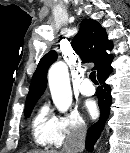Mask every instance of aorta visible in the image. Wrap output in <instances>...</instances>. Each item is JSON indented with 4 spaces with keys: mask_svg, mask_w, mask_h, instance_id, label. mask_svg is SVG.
I'll use <instances>...</instances> for the list:
<instances>
[{
    "mask_svg": "<svg viewBox=\"0 0 130 153\" xmlns=\"http://www.w3.org/2000/svg\"><path fill=\"white\" fill-rule=\"evenodd\" d=\"M48 82L56 108L62 113L66 112L72 104V91L68 67L64 62H56L50 67Z\"/></svg>",
    "mask_w": 130,
    "mask_h": 153,
    "instance_id": "762f6f07",
    "label": "aorta"
}]
</instances>
